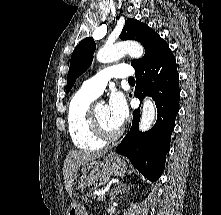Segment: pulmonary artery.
<instances>
[{"mask_svg":"<svg viewBox=\"0 0 221 215\" xmlns=\"http://www.w3.org/2000/svg\"><path fill=\"white\" fill-rule=\"evenodd\" d=\"M133 74L132 67L127 64L113 65L101 70L94 77L86 80L82 85V90L98 97L111 78H131Z\"/></svg>","mask_w":221,"mask_h":215,"instance_id":"e3ab8cb5","label":"pulmonary artery"}]
</instances>
